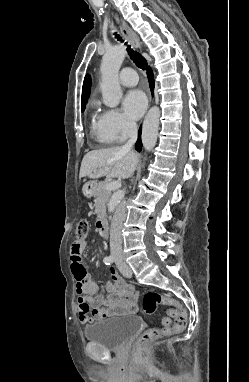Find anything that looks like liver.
<instances>
[{
	"instance_id": "6515ba94",
	"label": "liver",
	"mask_w": 249,
	"mask_h": 382,
	"mask_svg": "<svg viewBox=\"0 0 249 382\" xmlns=\"http://www.w3.org/2000/svg\"><path fill=\"white\" fill-rule=\"evenodd\" d=\"M139 162V155L122 147H111L88 152L80 167L79 177L96 179L102 176L127 179L132 176Z\"/></svg>"
}]
</instances>
